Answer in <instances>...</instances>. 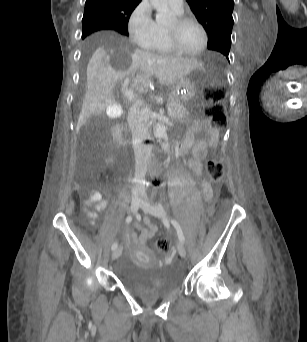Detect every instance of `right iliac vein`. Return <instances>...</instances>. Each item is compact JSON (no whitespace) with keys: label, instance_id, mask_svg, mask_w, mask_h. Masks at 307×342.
Returning <instances> with one entry per match:
<instances>
[{"label":"right iliac vein","instance_id":"obj_1","mask_svg":"<svg viewBox=\"0 0 307 342\" xmlns=\"http://www.w3.org/2000/svg\"><path fill=\"white\" fill-rule=\"evenodd\" d=\"M142 203V199L138 196H134L131 201V211L133 214H136L138 212V209ZM122 253V247L117 248L113 251L111 255V259L115 260L117 259Z\"/></svg>","mask_w":307,"mask_h":342}]
</instances>
